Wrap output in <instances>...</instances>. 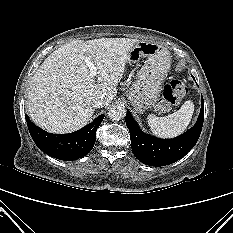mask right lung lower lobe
<instances>
[{"label": "right lung lower lobe", "instance_id": "right-lung-lower-lobe-1", "mask_svg": "<svg viewBox=\"0 0 233 233\" xmlns=\"http://www.w3.org/2000/svg\"><path fill=\"white\" fill-rule=\"evenodd\" d=\"M27 126L35 144L44 153L54 158L72 161L87 155L96 141V130L104 115L98 116L93 122L78 131L68 134H52L34 125L25 115Z\"/></svg>", "mask_w": 233, "mask_h": 233}]
</instances>
